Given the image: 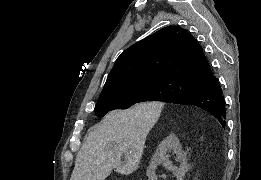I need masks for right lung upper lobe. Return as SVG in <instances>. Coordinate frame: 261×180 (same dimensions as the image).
Instances as JSON below:
<instances>
[{
	"label": "right lung upper lobe",
	"mask_w": 261,
	"mask_h": 180,
	"mask_svg": "<svg viewBox=\"0 0 261 180\" xmlns=\"http://www.w3.org/2000/svg\"><path fill=\"white\" fill-rule=\"evenodd\" d=\"M212 73L203 49L178 26L165 27L133 44L116 60L100 95L160 80L199 83Z\"/></svg>",
	"instance_id": "right-lung-upper-lobe-1"
}]
</instances>
